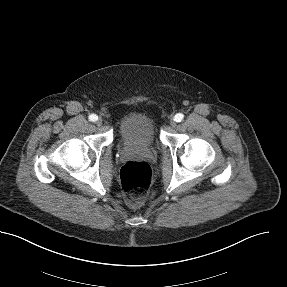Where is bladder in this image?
I'll return each mask as SVG.
<instances>
[{
  "instance_id": "1",
  "label": "bladder",
  "mask_w": 287,
  "mask_h": 287,
  "mask_svg": "<svg viewBox=\"0 0 287 287\" xmlns=\"http://www.w3.org/2000/svg\"><path fill=\"white\" fill-rule=\"evenodd\" d=\"M119 138L124 146L151 147L156 138L153 120L145 113L129 114L120 124Z\"/></svg>"
}]
</instances>
